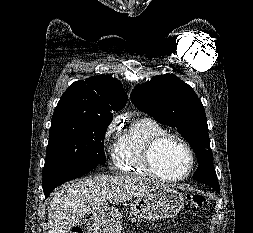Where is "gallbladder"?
<instances>
[{
    "instance_id": "1",
    "label": "gallbladder",
    "mask_w": 253,
    "mask_h": 233,
    "mask_svg": "<svg viewBox=\"0 0 253 233\" xmlns=\"http://www.w3.org/2000/svg\"><path fill=\"white\" fill-rule=\"evenodd\" d=\"M86 222V219H83L82 221H81V223H85Z\"/></svg>"
}]
</instances>
